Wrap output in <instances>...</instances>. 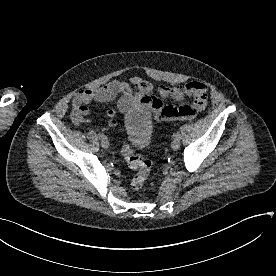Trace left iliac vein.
<instances>
[{"label": "left iliac vein", "mask_w": 276, "mask_h": 276, "mask_svg": "<svg viewBox=\"0 0 276 276\" xmlns=\"http://www.w3.org/2000/svg\"><path fill=\"white\" fill-rule=\"evenodd\" d=\"M171 147L174 151L180 148V139H175L172 141Z\"/></svg>", "instance_id": "obj_1"}]
</instances>
